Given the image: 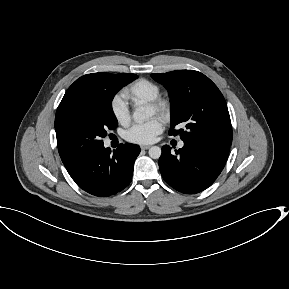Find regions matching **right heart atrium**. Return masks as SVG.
<instances>
[{
    "mask_svg": "<svg viewBox=\"0 0 289 289\" xmlns=\"http://www.w3.org/2000/svg\"><path fill=\"white\" fill-rule=\"evenodd\" d=\"M113 117L122 125H127L131 120V113L126 100L121 96H115L110 103Z\"/></svg>",
    "mask_w": 289,
    "mask_h": 289,
    "instance_id": "d8ad5b80",
    "label": "right heart atrium"
}]
</instances>
